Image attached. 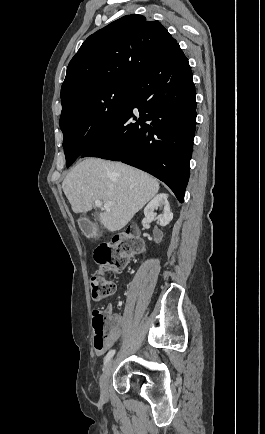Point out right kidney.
Returning <instances> with one entry per match:
<instances>
[{
    "label": "right kidney",
    "instance_id": "right-kidney-1",
    "mask_svg": "<svg viewBox=\"0 0 265 434\" xmlns=\"http://www.w3.org/2000/svg\"><path fill=\"white\" fill-rule=\"evenodd\" d=\"M158 208H163L164 214L162 216H157L155 210H158ZM144 216L147 220H159L160 226H168L171 220H173V214L168 202V194H157L144 208Z\"/></svg>",
    "mask_w": 265,
    "mask_h": 434
}]
</instances>
